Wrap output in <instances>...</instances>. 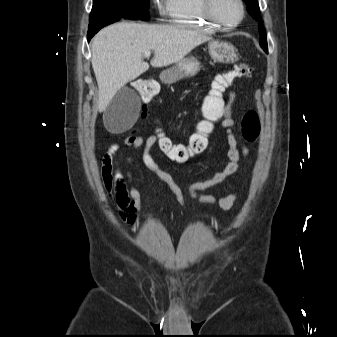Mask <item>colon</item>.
<instances>
[{"mask_svg": "<svg viewBox=\"0 0 337 337\" xmlns=\"http://www.w3.org/2000/svg\"><path fill=\"white\" fill-rule=\"evenodd\" d=\"M253 68L249 64L239 63L231 70L217 74L211 85L210 94H205V100H200V107H207L201 110L202 116L208 118L202 119L203 125H212L213 120L224 115L222 107L226 106L223 100L222 92L229 87L238 78L250 77ZM134 87L143 97V103H154L157 97V85L148 78L138 79L134 81ZM142 118L150 119L153 113V106H142ZM199 132L194 134L187 143H175L174 137H168V133L164 132L163 126H153L152 132L157 133L159 139V151H163L168 156V161L185 162L191 157L202 153L207 147V139L204 133H210V126H200ZM241 132L243 138L248 142H256L260 136L261 125L258 113L255 110L247 111L241 122Z\"/></svg>", "mask_w": 337, "mask_h": 337, "instance_id": "1", "label": "colon"}]
</instances>
